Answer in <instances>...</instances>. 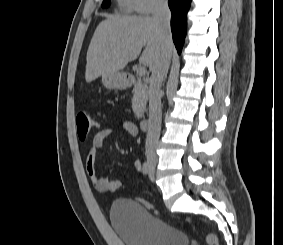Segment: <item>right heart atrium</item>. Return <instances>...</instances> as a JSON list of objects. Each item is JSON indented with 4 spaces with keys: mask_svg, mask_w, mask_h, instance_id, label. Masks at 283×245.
<instances>
[{
    "mask_svg": "<svg viewBox=\"0 0 283 245\" xmlns=\"http://www.w3.org/2000/svg\"><path fill=\"white\" fill-rule=\"evenodd\" d=\"M132 9L141 14H149L162 7L165 0H129Z\"/></svg>",
    "mask_w": 283,
    "mask_h": 245,
    "instance_id": "d8ad5b80",
    "label": "right heart atrium"
}]
</instances>
